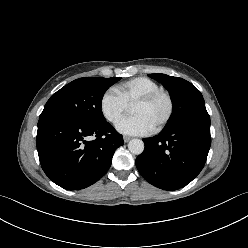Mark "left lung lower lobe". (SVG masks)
<instances>
[{
  "label": "left lung lower lobe",
  "mask_w": 248,
  "mask_h": 248,
  "mask_svg": "<svg viewBox=\"0 0 248 248\" xmlns=\"http://www.w3.org/2000/svg\"><path fill=\"white\" fill-rule=\"evenodd\" d=\"M143 141L145 150L135 161L140 174L158 188L180 189L205 165L211 145L210 117L197 116Z\"/></svg>",
  "instance_id": "1"
}]
</instances>
